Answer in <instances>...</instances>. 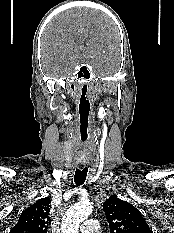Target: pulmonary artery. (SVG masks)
<instances>
[{"mask_svg":"<svg viewBox=\"0 0 174 233\" xmlns=\"http://www.w3.org/2000/svg\"><path fill=\"white\" fill-rule=\"evenodd\" d=\"M81 233H98L99 223L96 220H86L80 227Z\"/></svg>","mask_w":174,"mask_h":233,"instance_id":"obj_1","label":"pulmonary artery"}]
</instances>
